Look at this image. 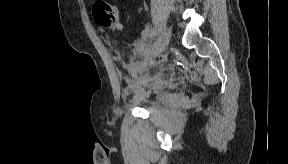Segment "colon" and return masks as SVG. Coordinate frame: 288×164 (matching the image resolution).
Masks as SVG:
<instances>
[{
    "mask_svg": "<svg viewBox=\"0 0 288 164\" xmlns=\"http://www.w3.org/2000/svg\"><path fill=\"white\" fill-rule=\"evenodd\" d=\"M94 15L97 23L102 27L110 29H119L121 27L119 10L116 6L97 3Z\"/></svg>",
    "mask_w": 288,
    "mask_h": 164,
    "instance_id": "colon-1",
    "label": "colon"
}]
</instances>
